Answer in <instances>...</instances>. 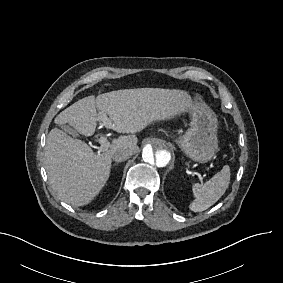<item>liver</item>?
<instances>
[{
	"label": "liver",
	"instance_id": "liver-1",
	"mask_svg": "<svg viewBox=\"0 0 283 283\" xmlns=\"http://www.w3.org/2000/svg\"><path fill=\"white\" fill-rule=\"evenodd\" d=\"M193 109L191 96L182 90H118L75 102L56 117L55 123L69 124L80 134L92 136L98 121L107 116L114 131L134 134L154 122L178 118ZM137 143L136 135L120 136L108 150L94 154L84 141L55 127L48 134L44 157L49 183L64 202L87 206L110 178L114 149L129 146L136 153Z\"/></svg>",
	"mask_w": 283,
	"mask_h": 283
}]
</instances>
